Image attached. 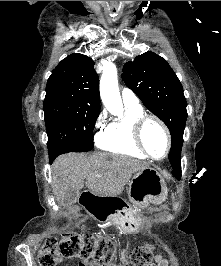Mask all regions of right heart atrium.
<instances>
[{
  "instance_id": "right-heart-atrium-1",
  "label": "right heart atrium",
  "mask_w": 221,
  "mask_h": 266,
  "mask_svg": "<svg viewBox=\"0 0 221 266\" xmlns=\"http://www.w3.org/2000/svg\"><path fill=\"white\" fill-rule=\"evenodd\" d=\"M105 119H106V112H105L104 110H102V111L98 114V116H97V118H96V121H95V123H94V127H95L96 129H99V128L103 125ZM98 136H99V134H98ZM98 136H97V137H98Z\"/></svg>"
}]
</instances>
